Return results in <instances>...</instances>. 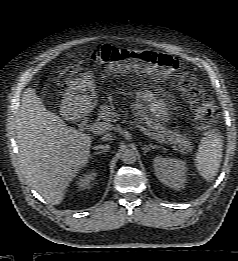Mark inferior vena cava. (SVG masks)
<instances>
[{
	"label": "inferior vena cava",
	"instance_id": "1",
	"mask_svg": "<svg viewBox=\"0 0 238 261\" xmlns=\"http://www.w3.org/2000/svg\"><path fill=\"white\" fill-rule=\"evenodd\" d=\"M108 148H109V145H98V146L94 147L95 150L108 149Z\"/></svg>",
	"mask_w": 238,
	"mask_h": 261
}]
</instances>
